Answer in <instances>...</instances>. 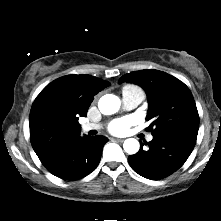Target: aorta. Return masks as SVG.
<instances>
[{"label": "aorta", "instance_id": "1", "mask_svg": "<svg viewBox=\"0 0 221 221\" xmlns=\"http://www.w3.org/2000/svg\"><path fill=\"white\" fill-rule=\"evenodd\" d=\"M98 108L104 115H111L116 113L120 108V99L112 94L102 96L98 102ZM140 144L137 139L129 138L123 143V148L128 154H135L138 152Z\"/></svg>", "mask_w": 221, "mask_h": 221}]
</instances>
